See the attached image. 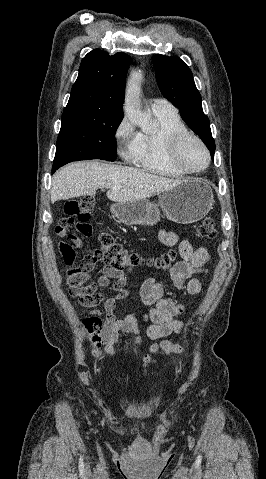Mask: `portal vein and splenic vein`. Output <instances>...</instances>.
I'll return each mask as SVG.
<instances>
[{
    "label": "portal vein and splenic vein",
    "instance_id": "1",
    "mask_svg": "<svg viewBox=\"0 0 266 479\" xmlns=\"http://www.w3.org/2000/svg\"><path fill=\"white\" fill-rule=\"evenodd\" d=\"M119 187H113V189H118Z\"/></svg>",
    "mask_w": 266,
    "mask_h": 479
}]
</instances>
